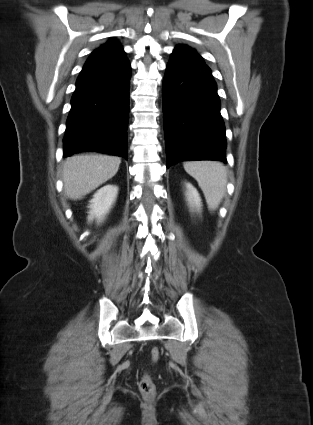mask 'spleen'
Returning <instances> with one entry per match:
<instances>
[{
    "label": "spleen",
    "instance_id": "3e777b00",
    "mask_svg": "<svg viewBox=\"0 0 313 425\" xmlns=\"http://www.w3.org/2000/svg\"><path fill=\"white\" fill-rule=\"evenodd\" d=\"M185 171L195 178L203 191L208 208L215 210L221 203L227 185V170L220 162L194 161L184 163Z\"/></svg>",
    "mask_w": 313,
    "mask_h": 425
}]
</instances>
